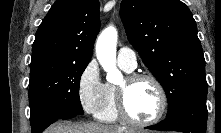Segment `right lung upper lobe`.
Instances as JSON below:
<instances>
[{
	"mask_svg": "<svg viewBox=\"0 0 221 133\" xmlns=\"http://www.w3.org/2000/svg\"><path fill=\"white\" fill-rule=\"evenodd\" d=\"M99 6L98 0H56L35 35L30 74L89 63L100 27Z\"/></svg>",
	"mask_w": 221,
	"mask_h": 133,
	"instance_id": "1",
	"label": "right lung upper lobe"
}]
</instances>
